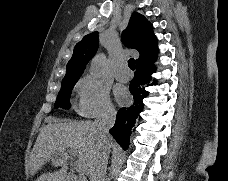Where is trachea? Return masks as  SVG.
<instances>
[{"label": "trachea", "instance_id": "trachea-1", "mask_svg": "<svg viewBox=\"0 0 228 181\" xmlns=\"http://www.w3.org/2000/svg\"><path fill=\"white\" fill-rule=\"evenodd\" d=\"M128 66L131 70H135V60L133 58L128 60Z\"/></svg>", "mask_w": 228, "mask_h": 181}]
</instances>
